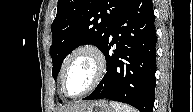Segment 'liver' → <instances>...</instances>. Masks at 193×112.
I'll use <instances>...</instances> for the list:
<instances>
[{
    "mask_svg": "<svg viewBox=\"0 0 193 112\" xmlns=\"http://www.w3.org/2000/svg\"><path fill=\"white\" fill-rule=\"evenodd\" d=\"M91 102H87V101H80V102H76L73 104H70L66 107H64L62 109V111H70V112H77L80 109L86 107L87 105H89Z\"/></svg>",
    "mask_w": 193,
    "mask_h": 112,
    "instance_id": "obj_1",
    "label": "liver"
}]
</instances>
